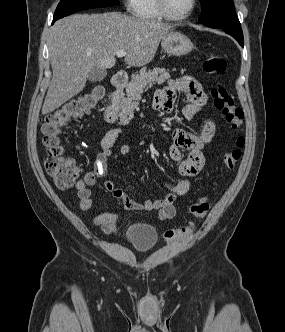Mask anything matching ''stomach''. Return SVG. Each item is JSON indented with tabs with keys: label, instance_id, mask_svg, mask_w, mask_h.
<instances>
[{
	"label": "stomach",
	"instance_id": "0dacf381",
	"mask_svg": "<svg viewBox=\"0 0 285 332\" xmlns=\"http://www.w3.org/2000/svg\"><path fill=\"white\" fill-rule=\"evenodd\" d=\"M162 49L169 55L183 56L193 49V43L182 33L170 31L161 42Z\"/></svg>",
	"mask_w": 285,
	"mask_h": 332
}]
</instances>
